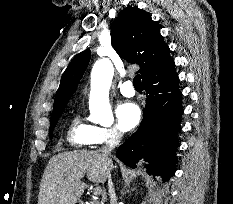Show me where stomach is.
I'll use <instances>...</instances> for the list:
<instances>
[{
  "label": "stomach",
  "instance_id": "stomach-1",
  "mask_svg": "<svg viewBox=\"0 0 233 204\" xmlns=\"http://www.w3.org/2000/svg\"><path fill=\"white\" fill-rule=\"evenodd\" d=\"M74 204H82V203H80V201H76Z\"/></svg>",
  "mask_w": 233,
  "mask_h": 204
}]
</instances>
